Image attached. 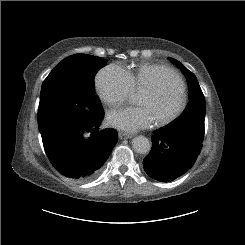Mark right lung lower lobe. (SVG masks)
<instances>
[{
	"label": "right lung lower lobe",
	"instance_id": "right-lung-lower-lobe-1",
	"mask_svg": "<svg viewBox=\"0 0 245 245\" xmlns=\"http://www.w3.org/2000/svg\"><path fill=\"white\" fill-rule=\"evenodd\" d=\"M103 116L83 126L59 128L42 138L54 168L75 180H89L99 174L118 135L113 130L99 131Z\"/></svg>",
	"mask_w": 245,
	"mask_h": 245
}]
</instances>
